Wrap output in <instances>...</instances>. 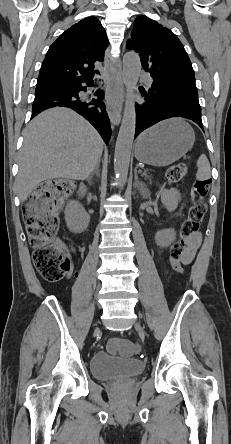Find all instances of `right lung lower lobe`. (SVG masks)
Listing matches in <instances>:
<instances>
[{"label": "right lung lower lobe", "mask_w": 231, "mask_h": 444, "mask_svg": "<svg viewBox=\"0 0 231 444\" xmlns=\"http://www.w3.org/2000/svg\"><path fill=\"white\" fill-rule=\"evenodd\" d=\"M82 83L93 86V80H87L35 92L31 118L51 107H69L85 117L98 130L106 144H108L112 131L105 107L101 102L103 93L102 91H96L95 95L98 99L84 100L78 96L80 91L86 90L81 85Z\"/></svg>", "instance_id": "obj_1"}]
</instances>
